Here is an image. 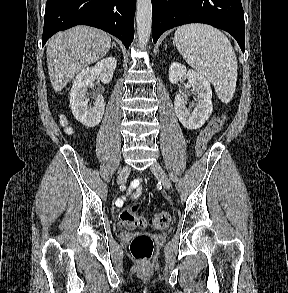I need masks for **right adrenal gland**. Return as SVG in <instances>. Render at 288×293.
Masks as SVG:
<instances>
[{
    "instance_id": "right-adrenal-gland-1",
    "label": "right adrenal gland",
    "mask_w": 288,
    "mask_h": 293,
    "mask_svg": "<svg viewBox=\"0 0 288 293\" xmlns=\"http://www.w3.org/2000/svg\"><path fill=\"white\" fill-rule=\"evenodd\" d=\"M112 47H115V48H117V49H118V47L116 46V44H115V43H113V44H112Z\"/></svg>"
}]
</instances>
